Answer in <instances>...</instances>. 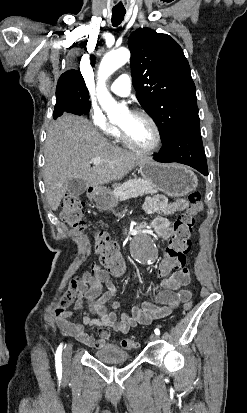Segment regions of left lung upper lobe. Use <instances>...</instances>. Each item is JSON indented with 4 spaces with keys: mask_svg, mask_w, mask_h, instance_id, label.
<instances>
[{
    "mask_svg": "<svg viewBox=\"0 0 247 413\" xmlns=\"http://www.w3.org/2000/svg\"><path fill=\"white\" fill-rule=\"evenodd\" d=\"M128 46L137 99L157 124L162 143L177 133H200L196 88L178 43L143 28L130 35Z\"/></svg>",
    "mask_w": 247,
    "mask_h": 413,
    "instance_id": "left-lung-upper-lobe-1",
    "label": "left lung upper lobe"
}]
</instances>
